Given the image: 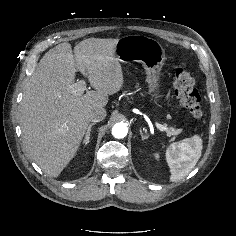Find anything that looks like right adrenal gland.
<instances>
[{
	"label": "right adrenal gland",
	"instance_id": "obj_1",
	"mask_svg": "<svg viewBox=\"0 0 236 236\" xmlns=\"http://www.w3.org/2000/svg\"><path fill=\"white\" fill-rule=\"evenodd\" d=\"M95 124H96L95 122L89 124L88 129H87V131H86V133H85V136H84V139H83V143H84V144H88V143H89L91 128H92V126H94Z\"/></svg>",
	"mask_w": 236,
	"mask_h": 236
}]
</instances>
